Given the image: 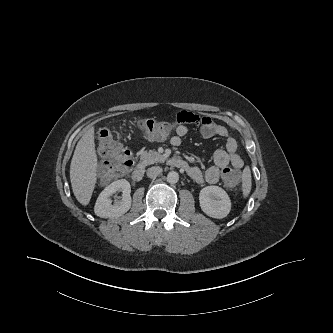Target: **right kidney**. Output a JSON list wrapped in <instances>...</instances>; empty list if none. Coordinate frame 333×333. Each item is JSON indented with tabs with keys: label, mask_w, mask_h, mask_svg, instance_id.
Returning <instances> with one entry per match:
<instances>
[{
	"label": "right kidney",
	"mask_w": 333,
	"mask_h": 333,
	"mask_svg": "<svg viewBox=\"0 0 333 333\" xmlns=\"http://www.w3.org/2000/svg\"><path fill=\"white\" fill-rule=\"evenodd\" d=\"M118 191H122V200L112 204L110 197ZM130 193L131 187L127 180L114 181L98 196L94 207L95 214L101 218L119 217L125 214L130 209L132 203Z\"/></svg>",
	"instance_id": "obj_1"
}]
</instances>
